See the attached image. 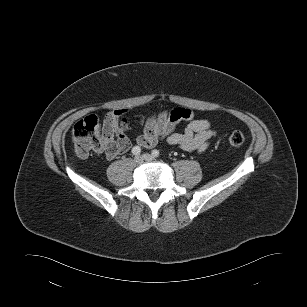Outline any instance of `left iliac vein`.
I'll return each mask as SVG.
<instances>
[{
	"mask_svg": "<svg viewBox=\"0 0 307 307\" xmlns=\"http://www.w3.org/2000/svg\"><path fill=\"white\" fill-rule=\"evenodd\" d=\"M142 157H143L144 160H146V161H152V160H154V157H153L152 155L148 154V153L143 154Z\"/></svg>",
	"mask_w": 307,
	"mask_h": 307,
	"instance_id": "left-iliac-vein-1",
	"label": "left iliac vein"
}]
</instances>
